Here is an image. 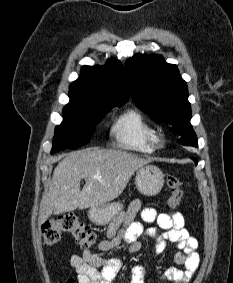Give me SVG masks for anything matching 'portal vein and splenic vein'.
Returning <instances> with one entry per match:
<instances>
[{
    "label": "portal vein and splenic vein",
    "mask_w": 233,
    "mask_h": 283,
    "mask_svg": "<svg viewBox=\"0 0 233 283\" xmlns=\"http://www.w3.org/2000/svg\"><path fill=\"white\" fill-rule=\"evenodd\" d=\"M94 179H99V177L98 176H94Z\"/></svg>",
    "instance_id": "1"
}]
</instances>
